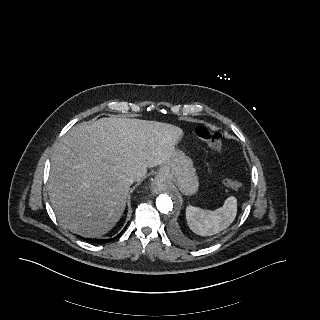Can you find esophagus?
I'll list each match as a JSON object with an SVG mask.
<instances>
[{
  "instance_id": "obj_1",
  "label": "esophagus",
  "mask_w": 320,
  "mask_h": 320,
  "mask_svg": "<svg viewBox=\"0 0 320 320\" xmlns=\"http://www.w3.org/2000/svg\"><path fill=\"white\" fill-rule=\"evenodd\" d=\"M164 185L162 180L159 177H156L152 182V190L155 193H159L163 190Z\"/></svg>"
}]
</instances>
